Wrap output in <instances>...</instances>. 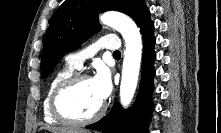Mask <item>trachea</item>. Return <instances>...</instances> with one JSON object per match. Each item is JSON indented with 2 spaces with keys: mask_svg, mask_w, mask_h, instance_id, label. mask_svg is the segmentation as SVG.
Masks as SVG:
<instances>
[{
  "mask_svg": "<svg viewBox=\"0 0 221 133\" xmlns=\"http://www.w3.org/2000/svg\"><path fill=\"white\" fill-rule=\"evenodd\" d=\"M120 55H121L120 51H115V52L113 53V56H120Z\"/></svg>",
  "mask_w": 221,
  "mask_h": 133,
  "instance_id": "1",
  "label": "trachea"
}]
</instances>
